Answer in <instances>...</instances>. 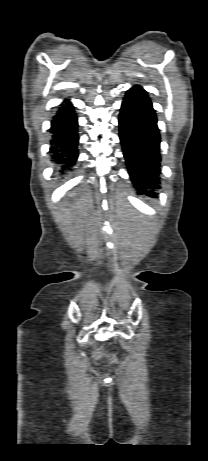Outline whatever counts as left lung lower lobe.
<instances>
[{"label":"left lung lower lobe","instance_id":"1","mask_svg":"<svg viewBox=\"0 0 208 461\" xmlns=\"http://www.w3.org/2000/svg\"><path fill=\"white\" fill-rule=\"evenodd\" d=\"M119 136L128 172L139 194L159 188L160 135L157 117L147 92L129 89L119 115Z\"/></svg>","mask_w":208,"mask_h":461}]
</instances>
